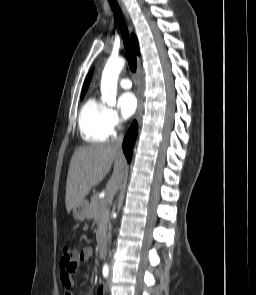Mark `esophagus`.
Masks as SVG:
<instances>
[{
	"label": "esophagus",
	"mask_w": 256,
	"mask_h": 295,
	"mask_svg": "<svg viewBox=\"0 0 256 295\" xmlns=\"http://www.w3.org/2000/svg\"><path fill=\"white\" fill-rule=\"evenodd\" d=\"M123 10H124V13L126 14L128 20H129V15L127 13V10L125 9V7L123 6ZM138 63H140V58L138 57ZM140 76H141V71L139 69L138 71V78L140 79ZM142 104H143V101H142V94H141V90L139 89L138 91V108H137V112H136V118H138V116L140 115L141 111H142Z\"/></svg>",
	"instance_id": "34e87169"
}]
</instances>
